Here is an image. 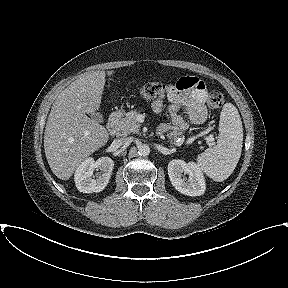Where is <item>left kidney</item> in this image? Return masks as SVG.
<instances>
[{
	"instance_id": "1",
	"label": "left kidney",
	"mask_w": 288,
	"mask_h": 288,
	"mask_svg": "<svg viewBox=\"0 0 288 288\" xmlns=\"http://www.w3.org/2000/svg\"><path fill=\"white\" fill-rule=\"evenodd\" d=\"M168 175L172 185L182 194L200 196L205 192L203 173L194 162L186 163L183 160H172L168 164Z\"/></svg>"
}]
</instances>
